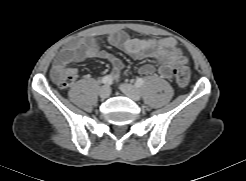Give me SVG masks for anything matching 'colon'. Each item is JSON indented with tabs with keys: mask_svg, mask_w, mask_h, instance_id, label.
Instances as JSON below:
<instances>
[{
	"mask_svg": "<svg viewBox=\"0 0 246 181\" xmlns=\"http://www.w3.org/2000/svg\"><path fill=\"white\" fill-rule=\"evenodd\" d=\"M175 81L180 87H186L190 82L191 71L185 61H181L175 68ZM76 78L73 68L61 66L52 70L53 81L62 88L71 86Z\"/></svg>",
	"mask_w": 246,
	"mask_h": 181,
	"instance_id": "1",
	"label": "colon"
}]
</instances>
